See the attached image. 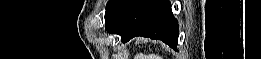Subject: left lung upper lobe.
<instances>
[{
  "mask_svg": "<svg viewBox=\"0 0 261 59\" xmlns=\"http://www.w3.org/2000/svg\"><path fill=\"white\" fill-rule=\"evenodd\" d=\"M120 0H109L106 7L105 17L113 10Z\"/></svg>",
  "mask_w": 261,
  "mask_h": 59,
  "instance_id": "5c2ea615",
  "label": "left lung upper lobe"
}]
</instances>
